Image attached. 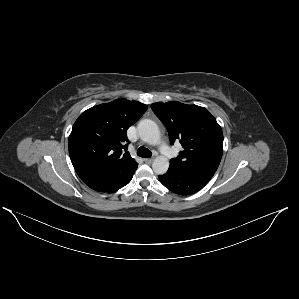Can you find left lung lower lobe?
<instances>
[{
    "label": "left lung lower lobe",
    "mask_w": 299,
    "mask_h": 299,
    "mask_svg": "<svg viewBox=\"0 0 299 299\" xmlns=\"http://www.w3.org/2000/svg\"><path fill=\"white\" fill-rule=\"evenodd\" d=\"M213 175L214 173L205 171L175 172L168 170L164 175H159V179L172 192L188 195L202 189Z\"/></svg>",
    "instance_id": "1"
}]
</instances>
